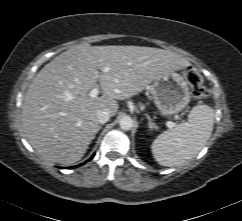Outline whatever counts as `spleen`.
Segmentation results:
<instances>
[{
  "label": "spleen",
  "instance_id": "obj_1",
  "mask_svg": "<svg viewBox=\"0 0 242 221\" xmlns=\"http://www.w3.org/2000/svg\"><path fill=\"white\" fill-rule=\"evenodd\" d=\"M214 109L205 104L192 108L188 121L160 134L152 143L154 159L162 166L181 165L194 158L210 138Z\"/></svg>",
  "mask_w": 242,
  "mask_h": 221
}]
</instances>
